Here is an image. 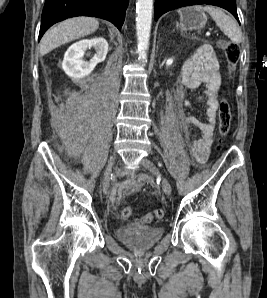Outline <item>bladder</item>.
Returning a JSON list of instances; mask_svg holds the SVG:
<instances>
[{"label":"bladder","instance_id":"obj_1","mask_svg":"<svg viewBox=\"0 0 267 298\" xmlns=\"http://www.w3.org/2000/svg\"><path fill=\"white\" fill-rule=\"evenodd\" d=\"M163 234L164 229L162 227L133 224L120 226L116 231L118 239L136 250H146L153 247Z\"/></svg>","mask_w":267,"mask_h":298}]
</instances>
